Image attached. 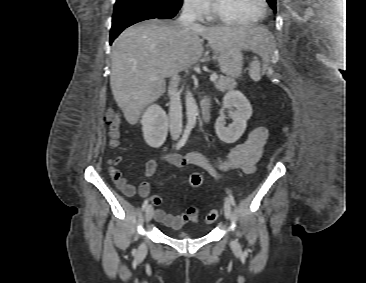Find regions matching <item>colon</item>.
Segmentation results:
<instances>
[{
  "mask_svg": "<svg viewBox=\"0 0 366 283\" xmlns=\"http://www.w3.org/2000/svg\"><path fill=\"white\" fill-rule=\"evenodd\" d=\"M106 122L110 130V137H111V143L112 145H117L119 143L120 139V131H119V125H120V119L117 113L110 111L106 117ZM188 183L193 188H198L203 183V177L200 173H193L188 178ZM219 216L218 210H211L209 211L204 221L207 224L213 223L216 221V219ZM187 220H191L193 222H198L200 219L199 213L196 209L190 208L185 216Z\"/></svg>",
  "mask_w": 366,
  "mask_h": 283,
  "instance_id": "5ec220e1",
  "label": "colon"
}]
</instances>
